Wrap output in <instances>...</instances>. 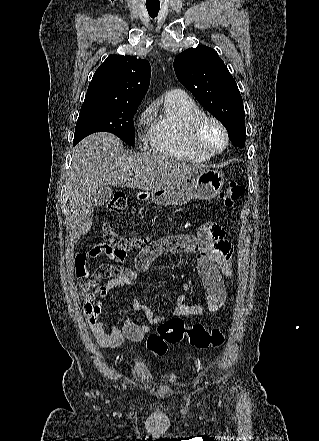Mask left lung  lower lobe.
Returning <instances> with one entry per match:
<instances>
[{
    "mask_svg": "<svg viewBox=\"0 0 319 441\" xmlns=\"http://www.w3.org/2000/svg\"><path fill=\"white\" fill-rule=\"evenodd\" d=\"M231 142L233 143V145L234 146H236V142H235V140L233 139V140H231Z\"/></svg>",
    "mask_w": 319,
    "mask_h": 441,
    "instance_id": "0a47b994",
    "label": "left lung lower lobe"
}]
</instances>
